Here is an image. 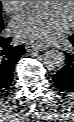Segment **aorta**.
Wrapping results in <instances>:
<instances>
[{"instance_id": "aorta-1", "label": "aorta", "mask_w": 74, "mask_h": 122, "mask_svg": "<svg viewBox=\"0 0 74 122\" xmlns=\"http://www.w3.org/2000/svg\"><path fill=\"white\" fill-rule=\"evenodd\" d=\"M30 4L40 8L46 1H31ZM43 65L50 71H59L65 66V55L58 50H49L43 55Z\"/></svg>"}]
</instances>
